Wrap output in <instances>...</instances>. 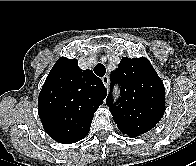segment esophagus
Returning a JSON list of instances; mask_svg holds the SVG:
<instances>
[{
    "instance_id": "esophagus-1",
    "label": "esophagus",
    "mask_w": 196,
    "mask_h": 166,
    "mask_svg": "<svg viewBox=\"0 0 196 166\" xmlns=\"http://www.w3.org/2000/svg\"><path fill=\"white\" fill-rule=\"evenodd\" d=\"M102 82H103L104 86L106 88H108V86H109V77L107 75L106 76H103L102 77Z\"/></svg>"
}]
</instances>
